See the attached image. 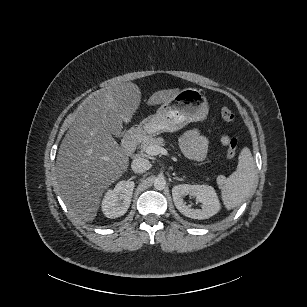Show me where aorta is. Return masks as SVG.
<instances>
[{"instance_id":"aorta-1","label":"aorta","mask_w":307,"mask_h":307,"mask_svg":"<svg viewBox=\"0 0 307 307\" xmlns=\"http://www.w3.org/2000/svg\"><path fill=\"white\" fill-rule=\"evenodd\" d=\"M166 186V179L164 176H157L154 179V187L158 190L164 189Z\"/></svg>"}]
</instances>
